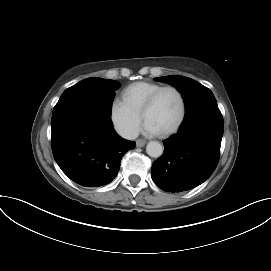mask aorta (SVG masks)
Here are the masks:
<instances>
[{
    "label": "aorta",
    "mask_w": 271,
    "mask_h": 271,
    "mask_svg": "<svg viewBox=\"0 0 271 271\" xmlns=\"http://www.w3.org/2000/svg\"><path fill=\"white\" fill-rule=\"evenodd\" d=\"M146 152L153 158H158L163 154V147L157 141H150L146 146Z\"/></svg>",
    "instance_id": "762f6f07"
}]
</instances>
